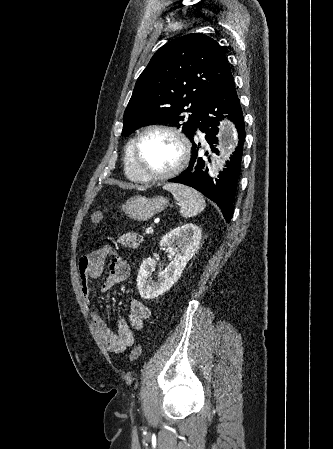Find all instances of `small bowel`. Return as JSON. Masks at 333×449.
<instances>
[{
  "label": "small bowel",
  "mask_w": 333,
  "mask_h": 449,
  "mask_svg": "<svg viewBox=\"0 0 333 449\" xmlns=\"http://www.w3.org/2000/svg\"><path fill=\"white\" fill-rule=\"evenodd\" d=\"M112 257L108 264V274L103 279L100 289L110 290L117 283L125 280L129 275V265L125 260L116 255L112 246H104L93 253L84 255L78 264L81 291L83 296L89 300L91 296V279L101 275L105 267V260ZM150 309L139 300L130 301V312L128 319H119L116 330H112L95 311H91V318L97 333L106 345L114 352H123L135 342V331L144 326V321L149 318Z\"/></svg>",
  "instance_id": "1"
}]
</instances>
